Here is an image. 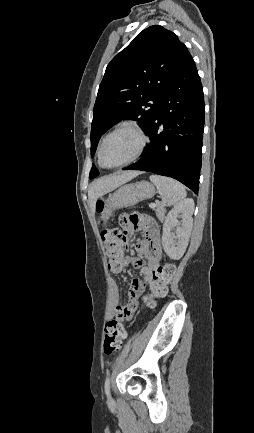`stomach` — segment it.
Wrapping results in <instances>:
<instances>
[{
  "label": "stomach",
  "mask_w": 254,
  "mask_h": 433,
  "mask_svg": "<svg viewBox=\"0 0 254 433\" xmlns=\"http://www.w3.org/2000/svg\"><path fill=\"white\" fill-rule=\"evenodd\" d=\"M155 188L148 181H140L121 186L110 195L102 212V219L108 220L116 209L129 207L138 202L152 198Z\"/></svg>",
  "instance_id": "obj_1"
}]
</instances>
